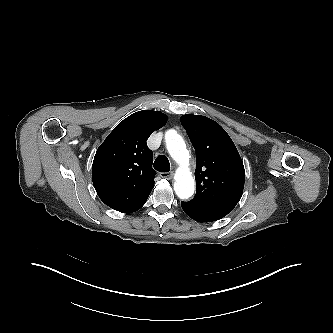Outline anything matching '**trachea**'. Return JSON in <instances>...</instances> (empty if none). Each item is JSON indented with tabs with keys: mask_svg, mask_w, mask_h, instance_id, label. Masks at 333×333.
I'll return each instance as SVG.
<instances>
[{
	"mask_svg": "<svg viewBox=\"0 0 333 333\" xmlns=\"http://www.w3.org/2000/svg\"><path fill=\"white\" fill-rule=\"evenodd\" d=\"M153 167L159 172H169L170 163L168 158L164 155L158 156L154 161Z\"/></svg>",
	"mask_w": 333,
	"mask_h": 333,
	"instance_id": "obj_1",
	"label": "trachea"
}]
</instances>
